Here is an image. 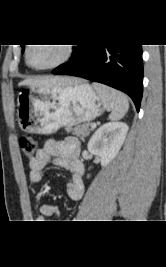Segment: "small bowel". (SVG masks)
Segmentation results:
<instances>
[{"label":"small bowel","mask_w":166,"mask_h":267,"mask_svg":"<svg viewBox=\"0 0 166 267\" xmlns=\"http://www.w3.org/2000/svg\"><path fill=\"white\" fill-rule=\"evenodd\" d=\"M53 161V164L70 172L71 180L66 186L69 198L79 201L84 193L82 176L84 165L80 159V142L73 137L57 141L47 140L29 161V179L32 183H39L43 178L44 168ZM60 211L54 204H43L35 219L38 222L50 217H59Z\"/></svg>","instance_id":"1"}]
</instances>
